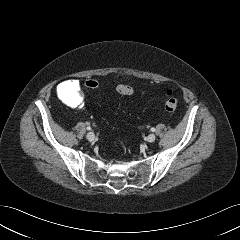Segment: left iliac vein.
<instances>
[{
	"instance_id": "obj_1",
	"label": "left iliac vein",
	"mask_w": 240,
	"mask_h": 240,
	"mask_svg": "<svg viewBox=\"0 0 240 240\" xmlns=\"http://www.w3.org/2000/svg\"><path fill=\"white\" fill-rule=\"evenodd\" d=\"M156 140V136L154 134H149L147 137H146V141L147 142H154Z\"/></svg>"
}]
</instances>
